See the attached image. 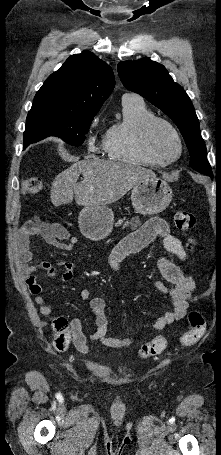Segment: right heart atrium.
<instances>
[{"mask_svg":"<svg viewBox=\"0 0 221 455\" xmlns=\"http://www.w3.org/2000/svg\"><path fill=\"white\" fill-rule=\"evenodd\" d=\"M99 123V117L95 116L89 123L87 132V147L90 151L96 152L100 149V145L97 140V126Z\"/></svg>","mask_w":221,"mask_h":455,"instance_id":"1","label":"right heart atrium"}]
</instances>
